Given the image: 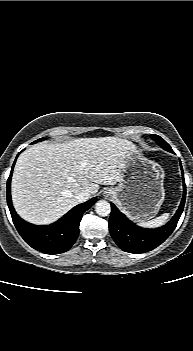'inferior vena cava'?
<instances>
[{
	"mask_svg": "<svg viewBox=\"0 0 193 351\" xmlns=\"http://www.w3.org/2000/svg\"><path fill=\"white\" fill-rule=\"evenodd\" d=\"M89 197H90V191L88 190H82L78 192L75 196L76 200L79 203L86 201L87 199H89Z\"/></svg>",
	"mask_w": 193,
	"mask_h": 351,
	"instance_id": "obj_1",
	"label": "inferior vena cava"
}]
</instances>
